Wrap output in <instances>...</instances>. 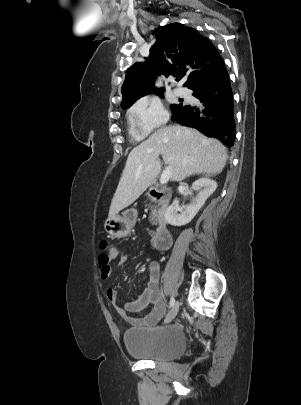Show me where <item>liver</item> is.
<instances>
[{"mask_svg": "<svg viewBox=\"0 0 301 405\" xmlns=\"http://www.w3.org/2000/svg\"><path fill=\"white\" fill-rule=\"evenodd\" d=\"M159 155L170 168V179L181 181L194 174H220L226 165V148L195 129L174 125L157 130L128 155L112 199L109 218L130 206L161 172Z\"/></svg>", "mask_w": 301, "mask_h": 405, "instance_id": "liver-1", "label": "liver"}]
</instances>
